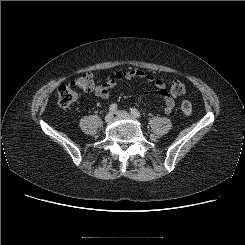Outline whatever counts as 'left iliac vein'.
Listing matches in <instances>:
<instances>
[{
	"label": "left iliac vein",
	"instance_id": "1",
	"mask_svg": "<svg viewBox=\"0 0 245 245\" xmlns=\"http://www.w3.org/2000/svg\"><path fill=\"white\" fill-rule=\"evenodd\" d=\"M115 114L119 117H131L129 113L122 111V110L116 111Z\"/></svg>",
	"mask_w": 245,
	"mask_h": 245
}]
</instances>
